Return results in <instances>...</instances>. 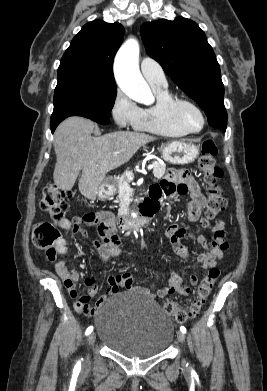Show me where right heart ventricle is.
Segmentation results:
<instances>
[{"mask_svg": "<svg viewBox=\"0 0 267 391\" xmlns=\"http://www.w3.org/2000/svg\"><path fill=\"white\" fill-rule=\"evenodd\" d=\"M152 90L156 96V102L141 109L139 120L134 128L165 137L185 136L187 133L168 114L167 105L173 99V95L167 86L152 87Z\"/></svg>", "mask_w": 267, "mask_h": 391, "instance_id": "1", "label": "right heart ventricle"}]
</instances>
